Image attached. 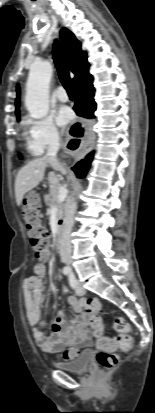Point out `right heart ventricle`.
Instances as JSON below:
<instances>
[{
  "instance_id": "1",
  "label": "right heart ventricle",
  "mask_w": 155,
  "mask_h": 413,
  "mask_svg": "<svg viewBox=\"0 0 155 413\" xmlns=\"http://www.w3.org/2000/svg\"><path fill=\"white\" fill-rule=\"evenodd\" d=\"M23 136L26 139V149H27V151L31 154H36L33 147H32V145H31V143H30V141H29V138H28V136L25 132L23 133Z\"/></svg>"
}]
</instances>
